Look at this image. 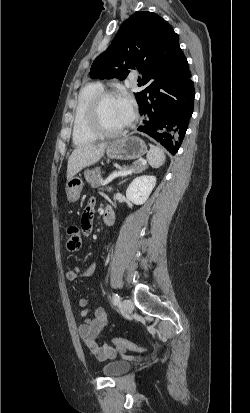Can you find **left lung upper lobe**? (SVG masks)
<instances>
[{"mask_svg": "<svg viewBox=\"0 0 250 413\" xmlns=\"http://www.w3.org/2000/svg\"><path fill=\"white\" fill-rule=\"evenodd\" d=\"M175 36L178 35L172 27L157 14L137 12L122 24L111 45L94 60L90 76L124 80L137 69L143 81L159 63L160 40Z\"/></svg>", "mask_w": 250, "mask_h": 413, "instance_id": "obj_1", "label": "left lung upper lobe"}]
</instances>
